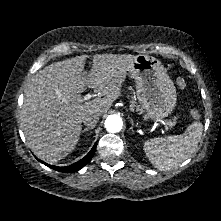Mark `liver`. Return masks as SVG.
Masks as SVG:
<instances>
[{
    "label": "liver",
    "instance_id": "6515ba94",
    "mask_svg": "<svg viewBox=\"0 0 221 221\" xmlns=\"http://www.w3.org/2000/svg\"><path fill=\"white\" fill-rule=\"evenodd\" d=\"M88 56L82 55L46 66L31 79L25 91L21 124L27 144L46 162H57L79 142L82 117L107 112L121 95V87L136 59L127 54L93 56L89 75L84 72ZM98 90L103 98L84 102L86 88Z\"/></svg>",
    "mask_w": 221,
    "mask_h": 221
}]
</instances>
